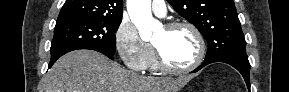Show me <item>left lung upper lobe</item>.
<instances>
[{
    "label": "left lung upper lobe",
    "instance_id": "left-lung-upper-lobe-1",
    "mask_svg": "<svg viewBox=\"0 0 289 92\" xmlns=\"http://www.w3.org/2000/svg\"><path fill=\"white\" fill-rule=\"evenodd\" d=\"M208 42L205 59L246 55V41L233 0H167Z\"/></svg>",
    "mask_w": 289,
    "mask_h": 92
}]
</instances>
